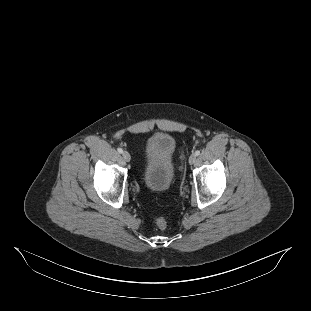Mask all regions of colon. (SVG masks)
<instances>
[{"mask_svg": "<svg viewBox=\"0 0 311 311\" xmlns=\"http://www.w3.org/2000/svg\"><path fill=\"white\" fill-rule=\"evenodd\" d=\"M154 223L161 230H163L167 227V220L163 216L156 217L154 219Z\"/></svg>", "mask_w": 311, "mask_h": 311, "instance_id": "obj_1", "label": "colon"}]
</instances>
